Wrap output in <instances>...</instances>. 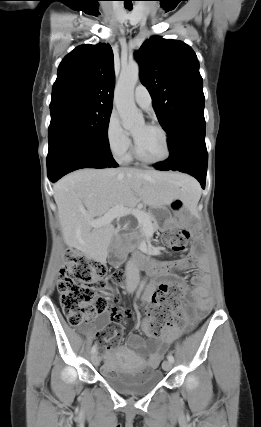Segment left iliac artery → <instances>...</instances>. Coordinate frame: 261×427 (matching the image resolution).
<instances>
[{"label":"left iliac artery","mask_w":261,"mask_h":427,"mask_svg":"<svg viewBox=\"0 0 261 427\" xmlns=\"http://www.w3.org/2000/svg\"><path fill=\"white\" fill-rule=\"evenodd\" d=\"M167 359H168L170 362H174V357H173V355H172V354H169V355L167 356Z\"/></svg>","instance_id":"1"}]
</instances>
